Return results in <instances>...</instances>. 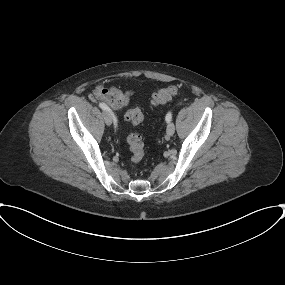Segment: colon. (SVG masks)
<instances>
[{
	"label": "colon",
	"instance_id": "5ec220e1",
	"mask_svg": "<svg viewBox=\"0 0 285 285\" xmlns=\"http://www.w3.org/2000/svg\"><path fill=\"white\" fill-rule=\"evenodd\" d=\"M177 93L178 88L176 86L158 89L152 96L151 104L153 106L165 104ZM125 118L133 124H139L144 120V115L140 109L131 108L126 112ZM127 143L131 153V163L132 165H138L145 155L142 138L137 133H130L127 137Z\"/></svg>",
	"mask_w": 285,
	"mask_h": 285
}]
</instances>
